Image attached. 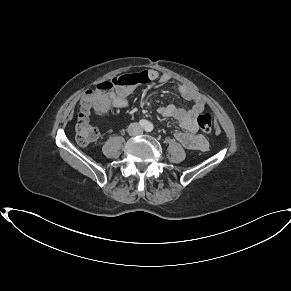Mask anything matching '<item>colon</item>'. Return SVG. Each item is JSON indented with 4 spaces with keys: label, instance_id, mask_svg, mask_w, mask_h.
Segmentation results:
<instances>
[{
    "label": "colon",
    "instance_id": "colon-1",
    "mask_svg": "<svg viewBox=\"0 0 291 291\" xmlns=\"http://www.w3.org/2000/svg\"><path fill=\"white\" fill-rule=\"evenodd\" d=\"M141 81L140 74L122 75L100 82L89 91L81 100L75 127L77 141L82 145H88L97 140L98 131L91 123L90 114L92 110L100 113L105 109V104L99 103V100L106 98V94L116 87H127ZM197 124L202 132L210 133L213 128L212 116L209 113L199 115Z\"/></svg>",
    "mask_w": 291,
    "mask_h": 291
}]
</instances>
